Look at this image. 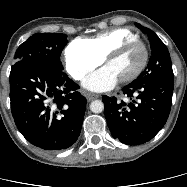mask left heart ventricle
I'll list each match as a JSON object with an SVG mask.
<instances>
[{
	"mask_svg": "<svg viewBox=\"0 0 187 187\" xmlns=\"http://www.w3.org/2000/svg\"><path fill=\"white\" fill-rule=\"evenodd\" d=\"M144 58V49L141 45L128 48L119 57L108 61L107 66L122 79L132 74L141 64Z\"/></svg>",
	"mask_w": 187,
	"mask_h": 187,
	"instance_id": "left-heart-ventricle-1",
	"label": "left heart ventricle"
}]
</instances>
